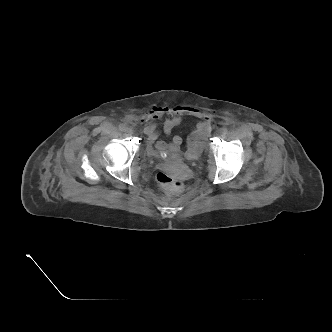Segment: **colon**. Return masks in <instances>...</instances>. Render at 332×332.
<instances>
[{
	"label": "colon",
	"instance_id": "5ec220e1",
	"mask_svg": "<svg viewBox=\"0 0 332 332\" xmlns=\"http://www.w3.org/2000/svg\"><path fill=\"white\" fill-rule=\"evenodd\" d=\"M156 181L159 186L168 193H178L183 189V182L165 172H159L156 175Z\"/></svg>",
	"mask_w": 332,
	"mask_h": 332
}]
</instances>
